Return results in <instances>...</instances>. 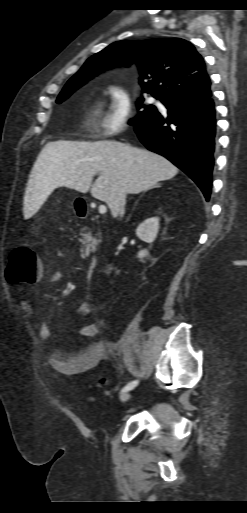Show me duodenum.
<instances>
[{
	"instance_id": "obj_1",
	"label": "duodenum",
	"mask_w": 247,
	"mask_h": 513,
	"mask_svg": "<svg viewBox=\"0 0 247 513\" xmlns=\"http://www.w3.org/2000/svg\"><path fill=\"white\" fill-rule=\"evenodd\" d=\"M76 211L77 213L82 217V216H86L87 213H88V208H87V204L86 202L84 201H80V202H77L76 203ZM98 263V259L96 257H94L92 260H91V267H95Z\"/></svg>"
}]
</instances>
